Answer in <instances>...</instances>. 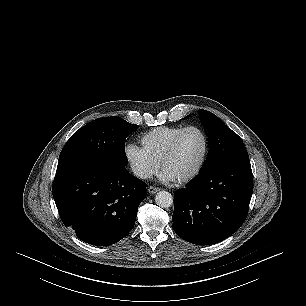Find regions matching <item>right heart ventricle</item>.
<instances>
[{
	"mask_svg": "<svg viewBox=\"0 0 306 306\" xmlns=\"http://www.w3.org/2000/svg\"><path fill=\"white\" fill-rule=\"evenodd\" d=\"M183 126L157 127L141 136L142 147L158 162L161 159L175 136L183 129Z\"/></svg>",
	"mask_w": 306,
	"mask_h": 306,
	"instance_id": "1",
	"label": "right heart ventricle"
}]
</instances>
